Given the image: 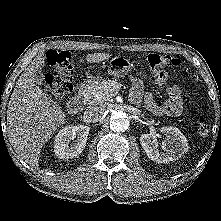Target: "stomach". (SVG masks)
<instances>
[{
  "label": "stomach",
  "instance_id": "1",
  "mask_svg": "<svg viewBox=\"0 0 221 221\" xmlns=\"http://www.w3.org/2000/svg\"><path fill=\"white\" fill-rule=\"evenodd\" d=\"M132 64L124 56L112 58L108 64V74L115 78H124L131 70Z\"/></svg>",
  "mask_w": 221,
  "mask_h": 221
}]
</instances>
